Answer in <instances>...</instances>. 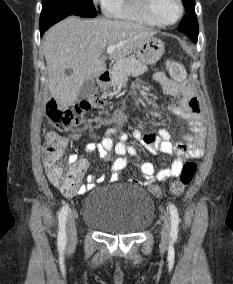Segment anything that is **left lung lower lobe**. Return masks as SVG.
Masks as SVG:
<instances>
[{
	"mask_svg": "<svg viewBox=\"0 0 233 284\" xmlns=\"http://www.w3.org/2000/svg\"><path fill=\"white\" fill-rule=\"evenodd\" d=\"M191 38H192V40H193L194 42H197L198 36H192Z\"/></svg>",
	"mask_w": 233,
	"mask_h": 284,
	"instance_id": "left-lung-lower-lobe-1",
	"label": "left lung lower lobe"
}]
</instances>
